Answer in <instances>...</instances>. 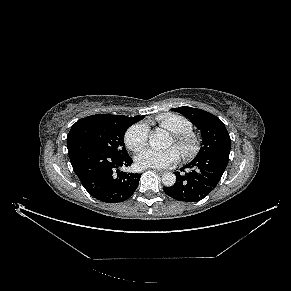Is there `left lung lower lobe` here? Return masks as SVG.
<instances>
[{"mask_svg":"<svg viewBox=\"0 0 291 291\" xmlns=\"http://www.w3.org/2000/svg\"><path fill=\"white\" fill-rule=\"evenodd\" d=\"M229 153L220 151L208 157L193 160L185 167L191 169L189 173L174 172L176 183L171 187H163L164 192L177 201L202 200L221 179L229 160ZM185 168L180 171L185 172Z\"/></svg>","mask_w":291,"mask_h":291,"instance_id":"left-lung-lower-lobe-1","label":"left lung lower lobe"}]
</instances>
